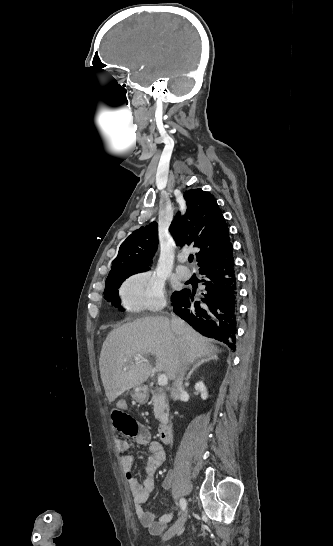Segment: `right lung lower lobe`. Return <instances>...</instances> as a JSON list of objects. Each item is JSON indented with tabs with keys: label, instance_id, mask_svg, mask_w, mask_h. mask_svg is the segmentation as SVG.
Masks as SVG:
<instances>
[{
	"label": "right lung lower lobe",
	"instance_id": "obj_1",
	"mask_svg": "<svg viewBox=\"0 0 333 546\" xmlns=\"http://www.w3.org/2000/svg\"><path fill=\"white\" fill-rule=\"evenodd\" d=\"M205 285L200 301L189 289L172 295L173 311L202 335L235 351L238 286L232 244L199 269Z\"/></svg>",
	"mask_w": 333,
	"mask_h": 546
}]
</instances>
